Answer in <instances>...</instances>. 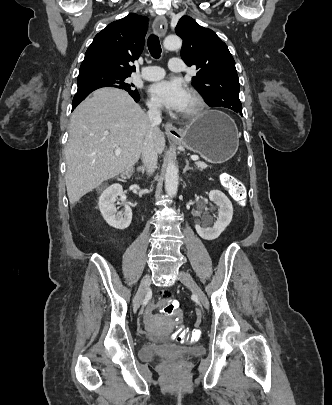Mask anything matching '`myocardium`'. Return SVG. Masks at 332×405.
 <instances>
[{
    "instance_id": "myocardium-1",
    "label": "myocardium",
    "mask_w": 332,
    "mask_h": 405,
    "mask_svg": "<svg viewBox=\"0 0 332 405\" xmlns=\"http://www.w3.org/2000/svg\"><path fill=\"white\" fill-rule=\"evenodd\" d=\"M189 97L192 101V108L186 112L182 113V117L187 119H193L198 117L204 109L203 98L194 90H190Z\"/></svg>"
}]
</instances>
